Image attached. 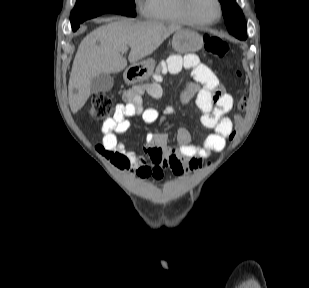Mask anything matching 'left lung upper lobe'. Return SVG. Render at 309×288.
I'll list each match as a JSON object with an SVG mask.
<instances>
[{
  "label": "left lung upper lobe",
  "mask_w": 309,
  "mask_h": 288,
  "mask_svg": "<svg viewBox=\"0 0 309 288\" xmlns=\"http://www.w3.org/2000/svg\"><path fill=\"white\" fill-rule=\"evenodd\" d=\"M221 3L228 32L232 35H247L244 15L236 4V0H219Z\"/></svg>",
  "instance_id": "1"
}]
</instances>
